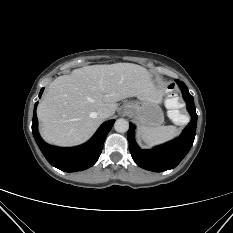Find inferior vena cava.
<instances>
[{
	"label": "inferior vena cava",
	"instance_id": "1",
	"mask_svg": "<svg viewBox=\"0 0 233 233\" xmlns=\"http://www.w3.org/2000/svg\"><path fill=\"white\" fill-rule=\"evenodd\" d=\"M111 115H112L111 112L107 108H104L98 112V116L102 119H106Z\"/></svg>",
	"mask_w": 233,
	"mask_h": 233
}]
</instances>
